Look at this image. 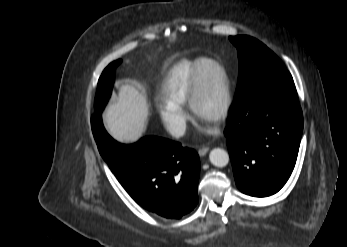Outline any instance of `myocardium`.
Returning a JSON list of instances; mask_svg holds the SVG:
<instances>
[{"label":"myocardium","mask_w":347,"mask_h":247,"mask_svg":"<svg viewBox=\"0 0 347 247\" xmlns=\"http://www.w3.org/2000/svg\"><path fill=\"white\" fill-rule=\"evenodd\" d=\"M203 63L205 65L208 64L212 66L219 74L223 94L222 103L218 112L211 121L214 123H220L227 118L232 106V91L230 79L225 68L217 61L205 59ZM202 68V66H199L194 72L188 95V104L190 110L197 118H201L199 113V104L202 91Z\"/></svg>","instance_id":"obj_1"}]
</instances>
